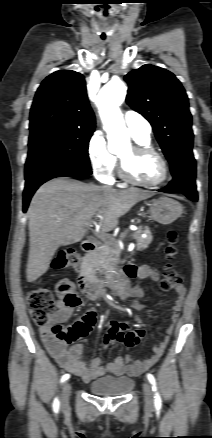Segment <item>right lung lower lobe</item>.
I'll list each match as a JSON object with an SVG mask.
<instances>
[{"instance_id": "right-lung-lower-lobe-1", "label": "right lung lower lobe", "mask_w": 212, "mask_h": 438, "mask_svg": "<svg viewBox=\"0 0 212 438\" xmlns=\"http://www.w3.org/2000/svg\"><path fill=\"white\" fill-rule=\"evenodd\" d=\"M92 174L90 165L68 162H32L25 165L23 211L26 212L31 197L40 185L61 176L85 177Z\"/></svg>"}]
</instances>
